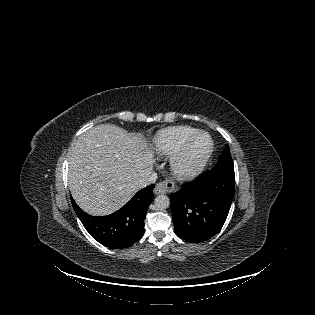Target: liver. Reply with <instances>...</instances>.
<instances>
[{
    "label": "liver",
    "instance_id": "1",
    "mask_svg": "<svg viewBox=\"0 0 315 315\" xmlns=\"http://www.w3.org/2000/svg\"><path fill=\"white\" fill-rule=\"evenodd\" d=\"M153 164L152 150L141 136L112 124L97 125L69 151V189L85 212L108 215L142 188Z\"/></svg>",
    "mask_w": 315,
    "mask_h": 315
}]
</instances>
